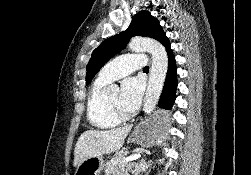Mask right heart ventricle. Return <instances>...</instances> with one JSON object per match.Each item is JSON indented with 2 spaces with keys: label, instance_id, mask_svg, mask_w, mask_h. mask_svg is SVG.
<instances>
[{
  "label": "right heart ventricle",
  "instance_id": "right-heart-ventricle-1",
  "mask_svg": "<svg viewBox=\"0 0 251 175\" xmlns=\"http://www.w3.org/2000/svg\"><path fill=\"white\" fill-rule=\"evenodd\" d=\"M107 84L99 79L94 81L86 102V115L89 124L101 130L113 128L118 123V118L107 107V97L105 96Z\"/></svg>",
  "mask_w": 251,
  "mask_h": 175
}]
</instances>
